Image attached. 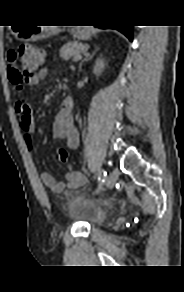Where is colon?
<instances>
[{"instance_id": "colon-1", "label": "colon", "mask_w": 184, "mask_h": 292, "mask_svg": "<svg viewBox=\"0 0 184 292\" xmlns=\"http://www.w3.org/2000/svg\"><path fill=\"white\" fill-rule=\"evenodd\" d=\"M44 50L34 45L26 44L8 54L9 79L14 85H21L30 80L44 64ZM57 161L67 160V151L59 148L55 153Z\"/></svg>"}]
</instances>
